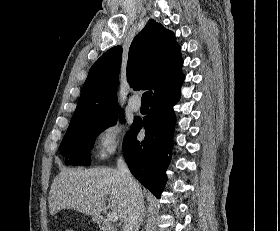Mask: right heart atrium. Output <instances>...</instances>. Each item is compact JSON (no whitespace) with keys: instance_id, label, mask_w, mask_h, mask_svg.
Returning <instances> with one entry per match:
<instances>
[{"instance_id":"right-heart-atrium-1","label":"right heart atrium","mask_w":280,"mask_h":231,"mask_svg":"<svg viewBox=\"0 0 280 231\" xmlns=\"http://www.w3.org/2000/svg\"><path fill=\"white\" fill-rule=\"evenodd\" d=\"M124 147L123 128L118 119L113 118L106 121L96 138L95 157L104 161Z\"/></svg>"}]
</instances>
